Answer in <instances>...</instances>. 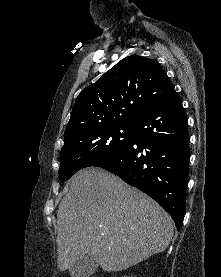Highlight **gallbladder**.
Segmentation results:
<instances>
[{
	"mask_svg": "<svg viewBox=\"0 0 221 277\" xmlns=\"http://www.w3.org/2000/svg\"><path fill=\"white\" fill-rule=\"evenodd\" d=\"M98 268L94 256L85 255L69 268L71 277H90Z\"/></svg>",
	"mask_w": 221,
	"mask_h": 277,
	"instance_id": "bac80fb5",
	"label": "gallbladder"
}]
</instances>
